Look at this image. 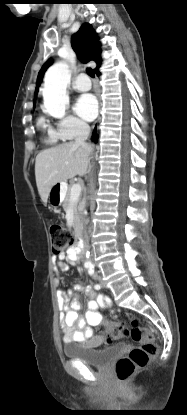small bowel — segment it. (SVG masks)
<instances>
[{
    "instance_id": "1",
    "label": "small bowel",
    "mask_w": 187,
    "mask_h": 415,
    "mask_svg": "<svg viewBox=\"0 0 187 415\" xmlns=\"http://www.w3.org/2000/svg\"><path fill=\"white\" fill-rule=\"evenodd\" d=\"M70 255L63 253L55 257L57 269L68 271L69 265L65 259ZM84 292L88 297V308L85 319L80 318L77 311L80 308L79 298L75 291ZM67 294L57 293V303L60 310V326L62 339L65 344H78L89 349L99 348L103 343V337L93 332V327L102 322L100 308H107L111 301L108 297L98 295L91 287H84L80 284L74 286Z\"/></svg>"
}]
</instances>
